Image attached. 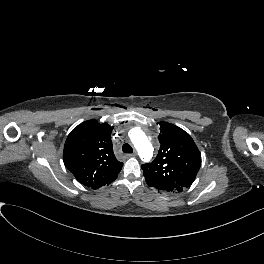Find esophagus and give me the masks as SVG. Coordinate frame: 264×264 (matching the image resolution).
Returning <instances> with one entry per match:
<instances>
[{"label":"esophagus","instance_id":"34e87169","mask_svg":"<svg viewBox=\"0 0 264 264\" xmlns=\"http://www.w3.org/2000/svg\"><path fill=\"white\" fill-rule=\"evenodd\" d=\"M137 154H136V152L135 153H133V154H126L125 156L127 157V158H129V157H134V156H136Z\"/></svg>","mask_w":264,"mask_h":264}]
</instances>
